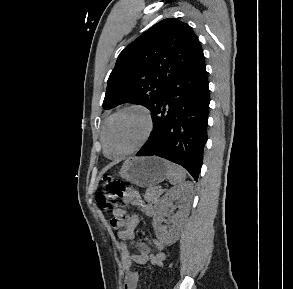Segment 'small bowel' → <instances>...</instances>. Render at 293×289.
<instances>
[{
    "instance_id": "1",
    "label": "small bowel",
    "mask_w": 293,
    "mask_h": 289,
    "mask_svg": "<svg viewBox=\"0 0 293 289\" xmlns=\"http://www.w3.org/2000/svg\"><path fill=\"white\" fill-rule=\"evenodd\" d=\"M124 201L125 203L139 207L148 217L155 215L154 206L144 203L137 192H128ZM113 218L123 221V224L119 227L121 229L117 233L116 246L121 255L124 289H137L139 274L133 270L132 265H146L150 263L157 267H163L166 259V254L163 251L164 243L157 238L151 239L150 243L137 241V253H131L127 242L134 239L139 218L136 215L126 216V211L122 208L113 211Z\"/></svg>"
}]
</instances>
